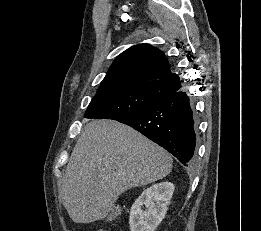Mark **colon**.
<instances>
[{
    "mask_svg": "<svg viewBox=\"0 0 261 231\" xmlns=\"http://www.w3.org/2000/svg\"><path fill=\"white\" fill-rule=\"evenodd\" d=\"M120 209L117 208V207H114V208H111L109 211H108V215L111 217V218H118L120 216Z\"/></svg>",
    "mask_w": 261,
    "mask_h": 231,
    "instance_id": "obj_1",
    "label": "colon"
}]
</instances>
